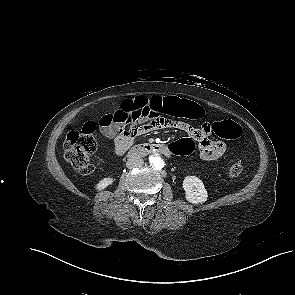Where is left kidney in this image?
I'll return each mask as SVG.
<instances>
[{"mask_svg": "<svg viewBox=\"0 0 295 295\" xmlns=\"http://www.w3.org/2000/svg\"><path fill=\"white\" fill-rule=\"evenodd\" d=\"M185 198L192 204H202L207 200V191L203 182L196 176H187L183 180Z\"/></svg>", "mask_w": 295, "mask_h": 295, "instance_id": "left-kidney-1", "label": "left kidney"}]
</instances>
